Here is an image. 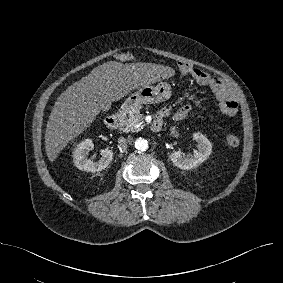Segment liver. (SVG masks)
I'll list each match as a JSON object with an SVG mask.
<instances>
[{"instance_id":"6515ba94","label":"liver","mask_w":283,"mask_h":283,"mask_svg":"<svg viewBox=\"0 0 283 283\" xmlns=\"http://www.w3.org/2000/svg\"><path fill=\"white\" fill-rule=\"evenodd\" d=\"M174 70L154 63L108 61L69 86L57 99L45 131V150L50 162L67 144L83 133L100 111L131 90L173 76Z\"/></svg>"}]
</instances>
